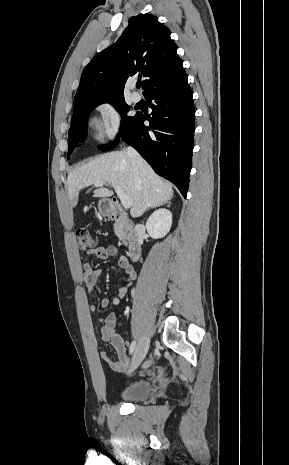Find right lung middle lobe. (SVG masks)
<instances>
[{"instance_id":"obj_1","label":"right lung middle lobe","mask_w":289,"mask_h":465,"mask_svg":"<svg viewBox=\"0 0 289 465\" xmlns=\"http://www.w3.org/2000/svg\"><path fill=\"white\" fill-rule=\"evenodd\" d=\"M102 103L112 104L124 117L121 122L120 134L125 136L130 130L134 123L137 114L133 117L126 116L129 111V106L125 103L124 99H103V100H90L74 105V113L72 118L71 127L68 136V147L69 152L74 146L78 145L79 142L83 141L86 137V118L89 113L98 105ZM119 138H117L111 144L102 148L103 151L111 150L117 146Z\"/></svg>"}]
</instances>
